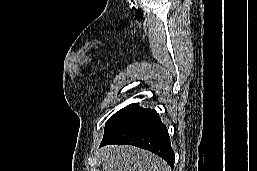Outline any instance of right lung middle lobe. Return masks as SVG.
Here are the masks:
<instances>
[{
	"label": "right lung middle lobe",
	"instance_id": "dd1d6c3e",
	"mask_svg": "<svg viewBox=\"0 0 257 171\" xmlns=\"http://www.w3.org/2000/svg\"><path fill=\"white\" fill-rule=\"evenodd\" d=\"M118 112H119V111H118ZM118 112H117V113H118ZM117 113H115L113 116H115ZM113 116H112V117H113ZM112 117H111V118H112ZM111 118H110V119H111ZM110 119H109V120H110Z\"/></svg>",
	"mask_w": 257,
	"mask_h": 171
}]
</instances>
